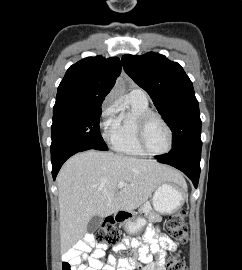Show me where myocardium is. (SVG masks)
<instances>
[{"mask_svg": "<svg viewBox=\"0 0 242 270\" xmlns=\"http://www.w3.org/2000/svg\"><path fill=\"white\" fill-rule=\"evenodd\" d=\"M154 119L158 120L159 122H161L163 124V126L167 130L168 138H169L167 149L163 152H160V153H156V152L151 151L147 147V144H146V138H145L146 130H147L149 123ZM137 141H138L140 148L143 150V152L145 154H147L149 156H163V155L170 153L172 148H173V131H172L170 125L166 122V120L160 114L150 111V112H147V113L141 115L138 119V122H137Z\"/></svg>", "mask_w": 242, "mask_h": 270, "instance_id": "1", "label": "myocardium"}]
</instances>
